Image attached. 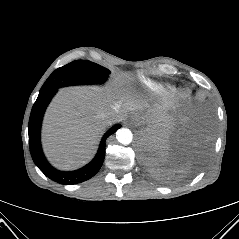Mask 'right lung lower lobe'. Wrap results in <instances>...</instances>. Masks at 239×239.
Segmentation results:
<instances>
[{"mask_svg":"<svg viewBox=\"0 0 239 239\" xmlns=\"http://www.w3.org/2000/svg\"><path fill=\"white\" fill-rule=\"evenodd\" d=\"M56 92L57 89L39 93L33 105L28 125L31 156L37 167L51 180L66 185L81 183L90 179L99 171L105 157L106 139L117 131L119 126H114L104 134L95 158L83 168L70 172L59 171L53 168L47 162L42 152L40 130L45 109Z\"/></svg>","mask_w":239,"mask_h":239,"instance_id":"right-lung-lower-lobe-1","label":"right lung lower lobe"}]
</instances>
